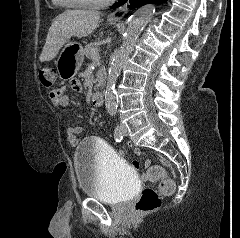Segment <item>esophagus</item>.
Listing matches in <instances>:
<instances>
[{
  "instance_id": "1",
  "label": "esophagus",
  "mask_w": 240,
  "mask_h": 238,
  "mask_svg": "<svg viewBox=\"0 0 240 238\" xmlns=\"http://www.w3.org/2000/svg\"><path fill=\"white\" fill-rule=\"evenodd\" d=\"M129 2H126L124 5L119 6L115 11L111 12L108 15L109 20H120L122 19L126 13L128 12Z\"/></svg>"
}]
</instances>
